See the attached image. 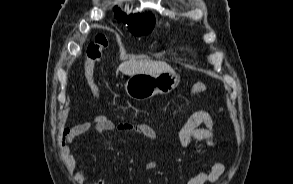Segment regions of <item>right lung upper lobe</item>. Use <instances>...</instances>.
<instances>
[{"instance_id":"obj_1","label":"right lung upper lobe","mask_w":293,"mask_h":184,"mask_svg":"<svg viewBox=\"0 0 293 184\" xmlns=\"http://www.w3.org/2000/svg\"><path fill=\"white\" fill-rule=\"evenodd\" d=\"M116 8L117 7H115V9ZM115 17L119 21H123L124 23L128 24V26L132 24L143 25V26H153L155 23V19L153 16L145 17L143 14L127 16L120 9H117L115 11Z\"/></svg>"}]
</instances>
